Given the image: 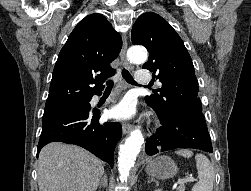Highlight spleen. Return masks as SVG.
<instances>
[{
	"label": "spleen",
	"instance_id": "1",
	"mask_svg": "<svg viewBox=\"0 0 251 191\" xmlns=\"http://www.w3.org/2000/svg\"><path fill=\"white\" fill-rule=\"evenodd\" d=\"M175 153L183 155V157H191V155H193V151H190V149H178ZM195 159L199 181L193 185L192 191H212L214 169L210 159H208L204 153H196Z\"/></svg>",
	"mask_w": 251,
	"mask_h": 191
}]
</instances>
